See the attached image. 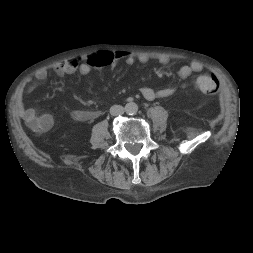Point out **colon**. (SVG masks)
Wrapping results in <instances>:
<instances>
[{"label":"colon","mask_w":253,"mask_h":253,"mask_svg":"<svg viewBox=\"0 0 253 253\" xmlns=\"http://www.w3.org/2000/svg\"><path fill=\"white\" fill-rule=\"evenodd\" d=\"M192 85L198 91L208 95H215L219 91V82L216 77L211 74H201L196 76Z\"/></svg>","instance_id":"1"}]
</instances>
